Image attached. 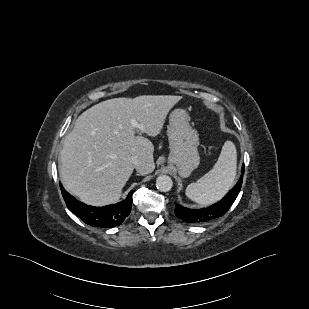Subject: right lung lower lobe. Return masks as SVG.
<instances>
[{
  "instance_id": "right-lung-lower-lobe-1",
  "label": "right lung lower lobe",
  "mask_w": 309,
  "mask_h": 309,
  "mask_svg": "<svg viewBox=\"0 0 309 309\" xmlns=\"http://www.w3.org/2000/svg\"><path fill=\"white\" fill-rule=\"evenodd\" d=\"M67 207L83 222L93 227L112 228L119 226L130 214L132 207L131 191L126 200L104 207L88 206L71 196L60 184Z\"/></svg>"
}]
</instances>
